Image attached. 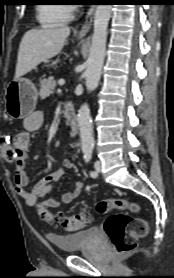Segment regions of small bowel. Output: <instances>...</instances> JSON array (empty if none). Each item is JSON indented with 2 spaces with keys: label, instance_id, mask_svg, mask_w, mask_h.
Masks as SVG:
<instances>
[{
  "label": "small bowel",
  "instance_id": "small-bowel-1",
  "mask_svg": "<svg viewBox=\"0 0 174 278\" xmlns=\"http://www.w3.org/2000/svg\"><path fill=\"white\" fill-rule=\"evenodd\" d=\"M44 124V113L37 111L24 120V131L18 133L13 140L15 151V185L18 196L24 200L28 207H34L36 201L49 193L53 184L65 174L67 169L72 167L69 160H65L62 167L57 168L41 180H39L31 190L27 189L29 179L27 175V157L31 147V135L39 131ZM84 183L78 181L75 189L62 194L60 200L49 198L41 203L44 208H56L60 204H69L74 201L82 192Z\"/></svg>",
  "mask_w": 174,
  "mask_h": 278
}]
</instances>
